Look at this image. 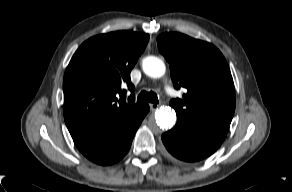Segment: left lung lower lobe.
I'll list each match as a JSON object with an SVG mask.
<instances>
[{
  "instance_id": "obj_1",
  "label": "left lung lower lobe",
  "mask_w": 292,
  "mask_h": 192,
  "mask_svg": "<svg viewBox=\"0 0 292 192\" xmlns=\"http://www.w3.org/2000/svg\"><path fill=\"white\" fill-rule=\"evenodd\" d=\"M226 134L176 124L162 135V141L168 152L185 162L202 160L214 153L225 139Z\"/></svg>"
}]
</instances>
